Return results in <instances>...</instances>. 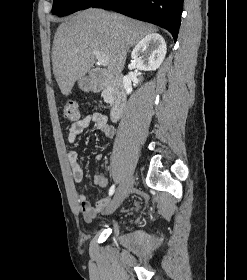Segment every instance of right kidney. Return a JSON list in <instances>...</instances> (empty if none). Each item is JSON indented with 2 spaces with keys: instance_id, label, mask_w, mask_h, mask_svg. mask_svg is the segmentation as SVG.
I'll return each instance as SVG.
<instances>
[{
  "instance_id": "obj_1",
  "label": "right kidney",
  "mask_w": 247,
  "mask_h": 280,
  "mask_svg": "<svg viewBox=\"0 0 247 280\" xmlns=\"http://www.w3.org/2000/svg\"><path fill=\"white\" fill-rule=\"evenodd\" d=\"M167 47L164 38L158 33H151L145 36L135 46L131 54V64L139 70L154 71L162 64ZM123 85L126 94L132 92V82L125 77Z\"/></svg>"
}]
</instances>
